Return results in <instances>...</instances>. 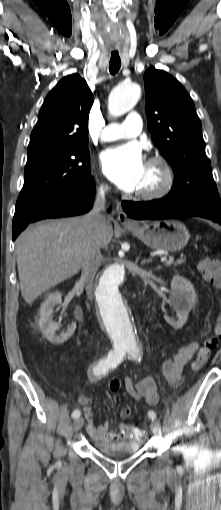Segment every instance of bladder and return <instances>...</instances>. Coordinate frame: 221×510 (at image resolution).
<instances>
[{"label": "bladder", "instance_id": "obj_1", "mask_svg": "<svg viewBox=\"0 0 221 510\" xmlns=\"http://www.w3.org/2000/svg\"><path fill=\"white\" fill-rule=\"evenodd\" d=\"M96 450L111 458H124L135 454L140 449V444L136 440L132 441H107L100 442L94 440Z\"/></svg>", "mask_w": 221, "mask_h": 510}]
</instances>
